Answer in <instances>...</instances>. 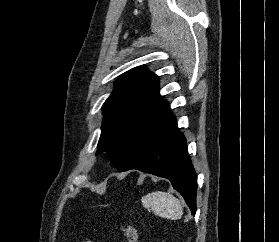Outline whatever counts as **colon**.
Wrapping results in <instances>:
<instances>
[{"mask_svg": "<svg viewBox=\"0 0 279 242\" xmlns=\"http://www.w3.org/2000/svg\"><path fill=\"white\" fill-rule=\"evenodd\" d=\"M120 231L127 242H137L138 231L134 226L121 224Z\"/></svg>", "mask_w": 279, "mask_h": 242, "instance_id": "5ec220e1", "label": "colon"}]
</instances>
